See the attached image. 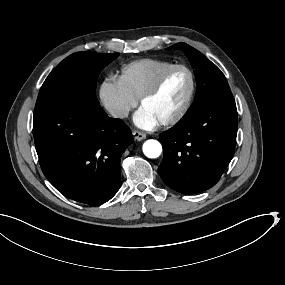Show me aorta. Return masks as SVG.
Masks as SVG:
<instances>
[{"label":"aorta","instance_id":"aorta-1","mask_svg":"<svg viewBox=\"0 0 285 285\" xmlns=\"http://www.w3.org/2000/svg\"><path fill=\"white\" fill-rule=\"evenodd\" d=\"M143 153L150 159L158 158L162 153V146L156 140H148L143 144Z\"/></svg>","mask_w":285,"mask_h":285}]
</instances>
